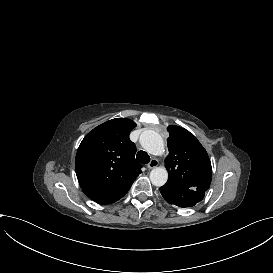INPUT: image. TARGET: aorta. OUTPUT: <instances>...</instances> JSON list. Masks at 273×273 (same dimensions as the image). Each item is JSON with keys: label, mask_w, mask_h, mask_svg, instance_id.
Returning a JSON list of instances; mask_svg holds the SVG:
<instances>
[{"label": "aorta", "mask_w": 273, "mask_h": 273, "mask_svg": "<svg viewBox=\"0 0 273 273\" xmlns=\"http://www.w3.org/2000/svg\"><path fill=\"white\" fill-rule=\"evenodd\" d=\"M142 147L153 155H162L165 151L162 137L153 130H146L140 135ZM150 180L154 186L161 187L168 180V172L165 167H156L150 172Z\"/></svg>", "instance_id": "762f6f07"}]
</instances>
